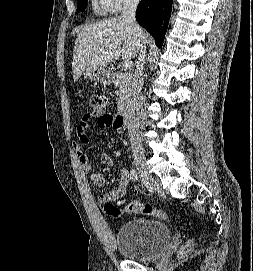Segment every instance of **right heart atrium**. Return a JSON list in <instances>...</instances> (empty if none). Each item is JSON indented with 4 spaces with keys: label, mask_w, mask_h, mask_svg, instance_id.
<instances>
[{
    "label": "right heart atrium",
    "mask_w": 253,
    "mask_h": 271,
    "mask_svg": "<svg viewBox=\"0 0 253 271\" xmlns=\"http://www.w3.org/2000/svg\"><path fill=\"white\" fill-rule=\"evenodd\" d=\"M100 7L107 13H118L124 5L137 3L139 0H97Z\"/></svg>",
    "instance_id": "obj_1"
}]
</instances>
